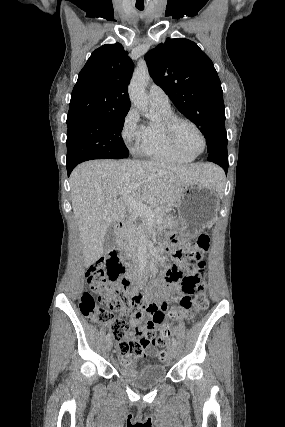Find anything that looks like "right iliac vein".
<instances>
[{
	"instance_id": "1",
	"label": "right iliac vein",
	"mask_w": 285,
	"mask_h": 427,
	"mask_svg": "<svg viewBox=\"0 0 285 427\" xmlns=\"http://www.w3.org/2000/svg\"><path fill=\"white\" fill-rule=\"evenodd\" d=\"M112 346H113V342H112V340H111V339H109V340L106 342V350H107V351H110V350H111V348H112Z\"/></svg>"
}]
</instances>
